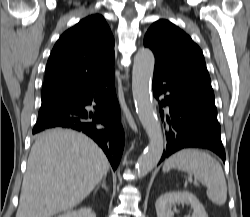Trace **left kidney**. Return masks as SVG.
<instances>
[{"label":"left kidney","instance_id":"left-kidney-1","mask_svg":"<svg viewBox=\"0 0 250 217\" xmlns=\"http://www.w3.org/2000/svg\"><path fill=\"white\" fill-rule=\"evenodd\" d=\"M189 204L193 208L191 217H208L205 208L194 194L188 191H173L162 194L156 201L157 217H173V206Z\"/></svg>","mask_w":250,"mask_h":217}]
</instances>
